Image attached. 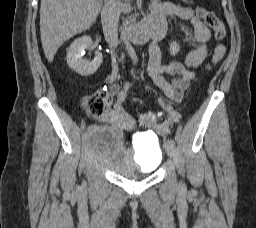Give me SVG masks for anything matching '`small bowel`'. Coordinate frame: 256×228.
Wrapping results in <instances>:
<instances>
[{
	"label": "small bowel",
	"instance_id": "obj_1",
	"mask_svg": "<svg viewBox=\"0 0 256 228\" xmlns=\"http://www.w3.org/2000/svg\"><path fill=\"white\" fill-rule=\"evenodd\" d=\"M151 15L147 19L162 31V36L166 28L165 19L167 17H177L184 21H190L191 29H184L185 35L194 44V47L187 54L184 62L172 60L169 63H162V54L159 39L154 41L148 47L149 61L147 65V74L157 88L169 99L174 102H180L184 92L195 78L193 68L198 67L206 58L208 53L207 43L211 33L209 28L193 13L190 8L174 5L170 2L155 1L151 7ZM165 76L172 79L168 80ZM132 87L131 83H126L122 87L119 84H111L105 87V108L99 116L101 122L110 124L119 130L125 127H132L135 121L121 106L125 100L127 91ZM116 100L113 101V97ZM169 122H164L155 126V131L160 134L168 133Z\"/></svg>",
	"mask_w": 256,
	"mask_h": 228
}]
</instances>
